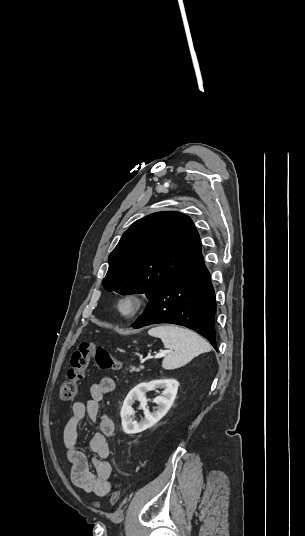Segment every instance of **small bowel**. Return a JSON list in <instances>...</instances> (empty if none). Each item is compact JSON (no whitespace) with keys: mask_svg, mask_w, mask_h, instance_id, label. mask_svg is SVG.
<instances>
[{"mask_svg":"<svg viewBox=\"0 0 305 536\" xmlns=\"http://www.w3.org/2000/svg\"><path fill=\"white\" fill-rule=\"evenodd\" d=\"M115 387V381L110 377H103L93 383L89 388V398L85 402L79 401L72 405V415L62 431L66 455L71 464V482L97 497H104L111 490L112 467L107 460L110 455L107 438L114 432V423L108 415H103L99 422L100 431L91 436L89 445L95 453L91 459L93 471L90 468L89 459L77 445L78 426L86 415L92 421L97 419L101 400L104 396L113 393Z\"/></svg>","mask_w":305,"mask_h":536,"instance_id":"1","label":"small bowel"}]
</instances>
